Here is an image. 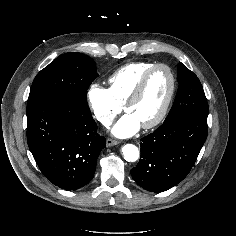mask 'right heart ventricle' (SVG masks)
<instances>
[{
    "label": "right heart ventricle",
    "instance_id": "obj_1",
    "mask_svg": "<svg viewBox=\"0 0 236 236\" xmlns=\"http://www.w3.org/2000/svg\"><path fill=\"white\" fill-rule=\"evenodd\" d=\"M153 65L152 62H135L116 70L108 79L109 90L118 103L123 105L142 75Z\"/></svg>",
    "mask_w": 236,
    "mask_h": 236
}]
</instances>
